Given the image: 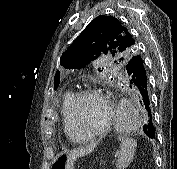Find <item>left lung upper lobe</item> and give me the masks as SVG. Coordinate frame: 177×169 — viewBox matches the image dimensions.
<instances>
[{"label": "left lung upper lobe", "mask_w": 177, "mask_h": 169, "mask_svg": "<svg viewBox=\"0 0 177 169\" xmlns=\"http://www.w3.org/2000/svg\"><path fill=\"white\" fill-rule=\"evenodd\" d=\"M137 53V44L127 27L115 17L102 15L92 20L74 40L63 53L60 64L76 69L104 56L118 58L126 64Z\"/></svg>", "instance_id": "obj_1"}]
</instances>
